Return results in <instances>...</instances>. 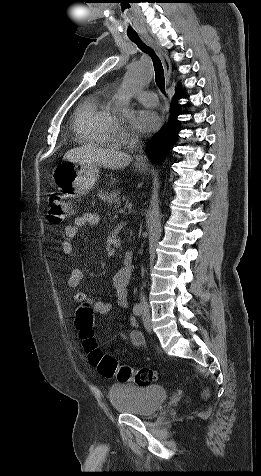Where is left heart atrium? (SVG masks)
Instances as JSON below:
<instances>
[{
  "label": "left heart atrium",
  "mask_w": 261,
  "mask_h": 476,
  "mask_svg": "<svg viewBox=\"0 0 261 476\" xmlns=\"http://www.w3.org/2000/svg\"><path fill=\"white\" fill-rule=\"evenodd\" d=\"M132 126L140 132L148 133L154 131L160 124L158 114L149 109H141L135 112L132 117Z\"/></svg>",
  "instance_id": "1"
}]
</instances>
